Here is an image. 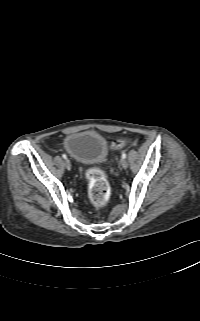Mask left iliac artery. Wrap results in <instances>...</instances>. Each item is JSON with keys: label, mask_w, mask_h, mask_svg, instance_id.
Instances as JSON below:
<instances>
[{"label": "left iliac artery", "mask_w": 200, "mask_h": 321, "mask_svg": "<svg viewBox=\"0 0 200 321\" xmlns=\"http://www.w3.org/2000/svg\"><path fill=\"white\" fill-rule=\"evenodd\" d=\"M122 158H123V159L126 158V153H122Z\"/></svg>", "instance_id": "1"}]
</instances>
